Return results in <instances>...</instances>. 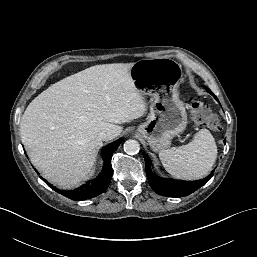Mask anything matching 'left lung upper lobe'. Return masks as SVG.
<instances>
[{
    "label": "left lung upper lobe",
    "mask_w": 257,
    "mask_h": 257,
    "mask_svg": "<svg viewBox=\"0 0 257 257\" xmlns=\"http://www.w3.org/2000/svg\"><path fill=\"white\" fill-rule=\"evenodd\" d=\"M204 88L206 89L207 92H209L210 94H213V93L210 91L209 88H207V87H205V86H204Z\"/></svg>",
    "instance_id": "1"
}]
</instances>
